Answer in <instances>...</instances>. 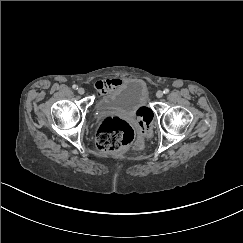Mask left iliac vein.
<instances>
[{"label":"left iliac vein","instance_id":"left-iliac-vein-1","mask_svg":"<svg viewBox=\"0 0 243 243\" xmlns=\"http://www.w3.org/2000/svg\"><path fill=\"white\" fill-rule=\"evenodd\" d=\"M157 98H162L163 97V91H157L156 93Z\"/></svg>","mask_w":243,"mask_h":243}]
</instances>
